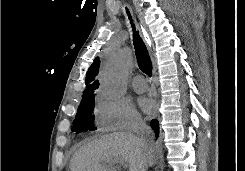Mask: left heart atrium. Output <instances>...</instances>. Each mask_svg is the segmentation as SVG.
<instances>
[{"mask_svg": "<svg viewBox=\"0 0 245 171\" xmlns=\"http://www.w3.org/2000/svg\"><path fill=\"white\" fill-rule=\"evenodd\" d=\"M140 105L145 112H150L154 108V103L151 100L145 98L140 100Z\"/></svg>", "mask_w": 245, "mask_h": 171, "instance_id": "obj_1", "label": "left heart atrium"}]
</instances>
